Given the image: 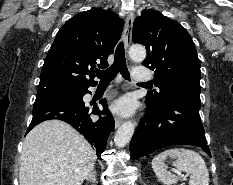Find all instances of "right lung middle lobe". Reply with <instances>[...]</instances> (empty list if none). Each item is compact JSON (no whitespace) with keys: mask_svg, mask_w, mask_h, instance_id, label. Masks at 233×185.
<instances>
[{"mask_svg":"<svg viewBox=\"0 0 233 185\" xmlns=\"http://www.w3.org/2000/svg\"><path fill=\"white\" fill-rule=\"evenodd\" d=\"M45 92L75 94V93H76V89H55V90H44V91H37V94L45 93Z\"/></svg>","mask_w":233,"mask_h":185,"instance_id":"right-lung-middle-lobe-1","label":"right lung middle lobe"}]
</instances>
